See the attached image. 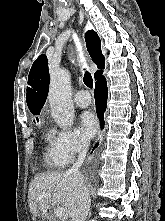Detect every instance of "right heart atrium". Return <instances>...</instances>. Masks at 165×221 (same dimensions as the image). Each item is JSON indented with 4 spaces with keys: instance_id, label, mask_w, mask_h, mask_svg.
<instances>
[{
    "instance_id": "d8ad5b80",
    "label": "right heart atrium",
    "mask_w": 165,
    "mask_h": 221,
    "mask_svg": "<svg viewBox=\"0 0 165 221\" xmlns=\"http://www.w3.org/2000/svg\"><path fill=\"white\" fill-rule=\"evenodd\" d=\"M87 148L88 141L78 130H51V150L56 157L70 162Z\"/></svg>"
}]
</instances>
